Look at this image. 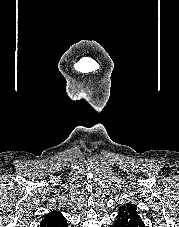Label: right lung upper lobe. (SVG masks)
<instances>
[{"instance_id": "1", "label": "right lung upper lobe", "mask_w": 179, "mask_h": 227, "mask_svg": "<svg viewBox=\"0 0 179 227\" xmlns=\"http://www.w3.org/2000/svg\"><path fill=\"white\" fill-rule=\"evenodd\" d=\"M67 225L66 219L59 211L47 214L41 221L40 227H64Z\"/></svg>"}]
</instances>
